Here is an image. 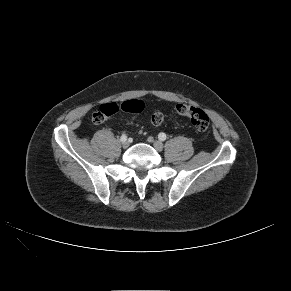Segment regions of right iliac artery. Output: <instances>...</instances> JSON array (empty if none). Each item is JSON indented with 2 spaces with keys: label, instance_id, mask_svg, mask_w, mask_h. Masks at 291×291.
<instances>
[{
  "label": "right iliac artery",
  "instance_id": "1",
  "mask_svg": "<svg viewBox=\"0 0 291 291\" xmlns=\"http://www.w3.org/2000/svg\"><path fill=\"white\" fill-rule=\"evenodd\" d=\"M120 140H121L122 142L126 141V140H127V136H126V134H122Z\"/></svg>",
  "mask_w": 291,
  "mask_h": 291
}]
</instances>
